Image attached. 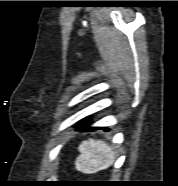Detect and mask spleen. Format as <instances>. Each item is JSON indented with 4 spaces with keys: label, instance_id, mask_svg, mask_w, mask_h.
Here are the masks:
<instances>
[{
    "label": "spleen",
    "instance_id": "obj_1",
    "mask_svg": "<svg viewBox=\"0 0 178 186\" xmlns=\"http://www.w3.org/2000/svg\"><path fill=\"white\" fill-rule=\"evenodd\" d=\"M79 152L76 169L84 173H96L110 167L115 161L112 147L102 140L83 141L79 145Z\"/></svg>",
    "mask_w": 178,
    "mask_h": 186
}]
</instances>
